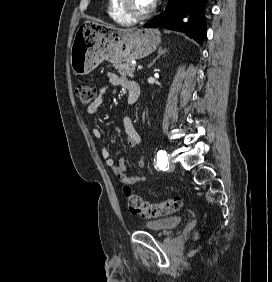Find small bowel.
<instances>
[{"mask_svg":"<svg viewBox=\"0 0 272 282\" xmlns=\"http://www.w3.org/2000/svg\"><path fill=\"white\" fill-rule=\"evenodd\" d=\"M108 81L114 86H120L123 89H127V81L129 79L124 77H119L115 73L107 74ZM106 93V88L102 87L99 91V96L95 99L93 104L89 106L88 113L96 114L104 105V95ZM123 127L125 129L126 140L130 146H138L141 144V137L136 128L134 127L133 122L129 118L123 119ZM93 134L95 138L99 139L101 133L98 129H94ZM102 157L105 159L106 165L116 174L119 179L127 184H137L146 180L144 173L138 175H129L126 170L125 161L123 158L115 159L110 156L108 149L103 148L101 151ZM140 167H144L146 164V158L142 156L138 162Z\"/></svg>","mask_w":272,"mask_h":282,"instance_id":"small-bowel-1","label":"small bowel"}]
</instances>
